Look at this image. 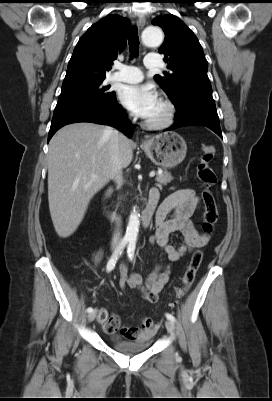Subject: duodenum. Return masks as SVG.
Instances as JSON below:
<instances>
[{
    "label": "duodenum",
    "mask_w": 272,
    "mask_h": 401,
    "mask_svg": "<svg viewBox=\"0 0 272 401\" xmlns=\"http://www.w3.org/2000/svg\"><path fill=\"white\" fill-rule=\"evenodd\" d=\"M111 193H112V190L109 189L103 195V197H102L103 208H104V213H105L106 217L109 220L116 222V221L120 220V217L115 212H113L111 209H109L106 204ZM158 198H159V193L157 191L149 194L146 207L141 216V222H142L143 227H145V228H147L151 225Z\"/></svg>",
    "instance_id": "duodenum-1"
}]
</instances>
